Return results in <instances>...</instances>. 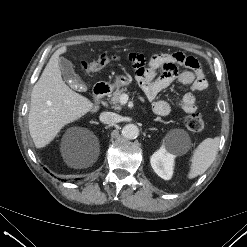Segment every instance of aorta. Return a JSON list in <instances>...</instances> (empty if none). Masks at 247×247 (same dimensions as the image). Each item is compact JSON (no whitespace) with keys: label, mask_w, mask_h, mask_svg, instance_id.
<instances>
[{"label":"aorta","mask_w":247,"mask_h":247,"mask_svg":"<svg viewBox=\"0 0 247 247\" xmlns=\"http://www.w3.org/2000/svg\"><path fill=\"white\" fill-rule=\"evenodd\" d=\"M121 133L126 139H135L139 135V128L134 124H127L123 127Z\"/></svg>","instance_id":"obj_1"}]
</instances>
